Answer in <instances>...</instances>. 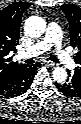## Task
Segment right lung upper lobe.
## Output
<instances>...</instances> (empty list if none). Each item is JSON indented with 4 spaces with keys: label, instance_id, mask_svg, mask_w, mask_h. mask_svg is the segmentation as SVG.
<instances>
[{
    "label": "right lung upper lobe",
    "instance_id": "obj_1",
    "mask_svg": "<svg viewBox=\"0 0 81 124\" xmlns=\"http://www.w3.org/2000/svg\"><path fill=\"white\" fill-rule=\"evenodd\" d=\"M30 3L15 2L0 10V81L9 77L19 66L12 62L20 38V22Z\"/></svg>",
    "mask_w": 81,
    "mask_h": 124
}]
</instances>
